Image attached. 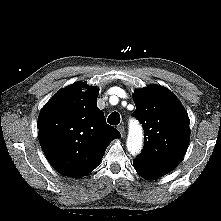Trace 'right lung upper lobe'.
<instances>
[{"instance_id":"1","label":"right lung upper lobe","mask_w":221,"mask_h":221,"mask_svg":"<svg viewBox=\"0 0 221 221\" xmlns=\"http://www.w3.org/2000/svg\"><path fill=\"white\" fill-rule=\"evenodd\" d=\"M97 96L96 87L75 83L57 92L40 112V145L50 164L63 175L78 178L93 171L109 143L121 136L106 123Z\"/></svg>"}]
</instances>
